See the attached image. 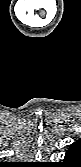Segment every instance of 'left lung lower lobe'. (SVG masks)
Listing matches in <instances>:
<instances>
[{
	"mask_svg": "<svg viewBox=\"0 0 81 167\" xmlns=\"http://www.w3.org/2000/svg\"><path fill=\"white\" fill-rule=\"evenodd\" d=\"M81 159V143L80 141L74 142L66 152L64 157V164H79Z\"/></svg>",
	"mask_w": 81,
	"mask_h": 167,
	"instance_id": "obj_1",
	"label": "left lung lower lobe"
}]
</instances>
